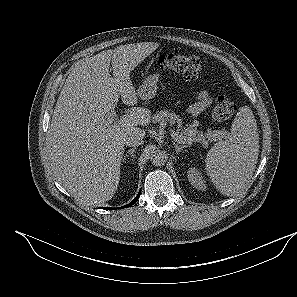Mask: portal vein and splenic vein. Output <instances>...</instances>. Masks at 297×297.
Returning <instances> with one entry per match:
<instances>
[{
  "label": "portal vein and splenic vein",
  "instance_id": "portal-vein-and-splenic-vein-1",
  "mask_svg": "<svg viewBox=\"0 0 297 297\" xmlns=\"http://www.w3.org/2000/svg\"><path fill=\"white\" fill-rule=\"evenodd\" d=\"M111 121H112V122L114 121V117H111ZM221 134H222L221 132H217V133L213 134V138H215V139H216V138H219ZM171 136H172L176 141H178V142H180V143H182V142L185 140V138L181 137V136L178 135L177 133H172Z\"/></svg>",
  "mask_w": 297,
  "mask_h": 297
}]
</instances>
